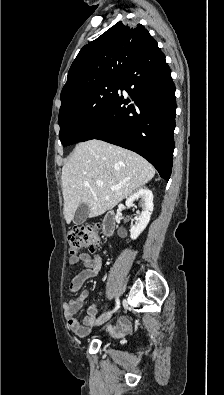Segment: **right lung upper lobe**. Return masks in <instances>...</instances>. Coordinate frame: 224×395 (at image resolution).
<instances>
[{
	"mask_svg": "<svg viewBox=\"0 0 224 395\" xmlns=\"http://www.w3.org/2000/svg\"><path fill=\"white\" fill-rule=\"evenodd\" d=\"M154 43L143 25L130 27L119 21L80 50L68 72L61 100L95 83L122 78Z\"/></svg>",
	"mask_w": 224,
	"mask_h": 395,
	"instance_id": "right-lung-upper-lobe-1",
	"label": "right lung upper lobe"
}]
</instances>
